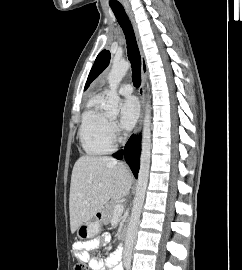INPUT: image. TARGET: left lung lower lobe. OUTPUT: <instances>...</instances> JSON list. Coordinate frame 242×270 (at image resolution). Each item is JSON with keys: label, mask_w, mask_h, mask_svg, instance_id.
Here are the masks:
<instances>
[{"label": "left lung lower lobe", "mask_w": 242, "mask_h": 270, "mask_svg": "<svg viewBox=\"0 0 242 270\" xmlns=\"http://www.w3.org/2000/svg\"><path fill=\"white\" fill-rule=\"evenodd\" d=\"M113 156H114L115 158L121 159L122 156H123V151H119V152L113 154Z\"/></svg>", "instance_id": "left-lung-lower-lobe-1"}]
</instances>
